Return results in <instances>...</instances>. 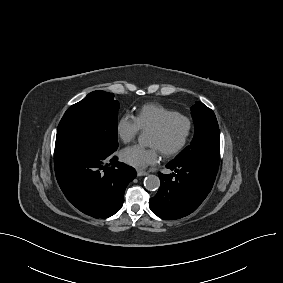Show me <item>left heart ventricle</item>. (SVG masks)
I'll list each match as a JSON object with an SVG mask.
<instances>
[{
  "instance_id": "obj_1",
  "label": "left heart ventricle",
  "mask_w": 283,
  "mask_h": 283,
  "mask_svg": "<svg viewBox=\"0 0 283 283\" xmlns=\"http://www.w3.org/2000/svg\"><path fill=\"white\" fill-rule=\"evenodd\" d=\"M186 132V124L182 120L174 121L164 134L150 132L148 143L156 146L161 152L176 147L183 139Z\"/></svg>"
}]
</instances>
